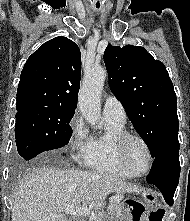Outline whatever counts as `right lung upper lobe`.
<instances>
[{
  "label": "right lung upper lobe",
  "instance_id": "right-lung-upper-lobe-1",
  "mask_svg": "<svg viewBox=\"0 0 190 221\" xmlns=\"http://www.w3.org/2000/svg\"><path fill=\"white\" fill-rule=\"evenodd\" d=\"M80 76L77 44L63 36L45 42L28 58L21 72L17 111L34 107L75 110Z\"/></svg>",
  "mask_w": 190,
  "mask_h": 221
}]
</instances>
